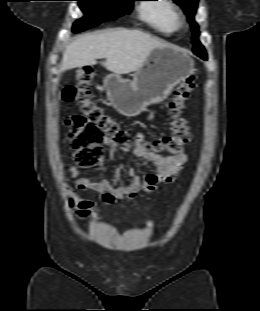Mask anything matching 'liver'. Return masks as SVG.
Returning <instances> with one entry per match:
<instances>
[{"instance_id": "obj_1", "label": "liver", "mask_w": 260, "mask_h": 311, "mask_svg": "<svg viewBox=\"0 0 260 311\" xmlns=\"http://www.w3.org/2000/svg\"><path fill=\"white\" fill-rule=\"evenodd\" d=\"M168 44L140 30L115 29L78 37L66 46L60 70L95 65L105 58L104 66L116 74L137 71L152 50Z\"/></svg>"}]
</instances>
